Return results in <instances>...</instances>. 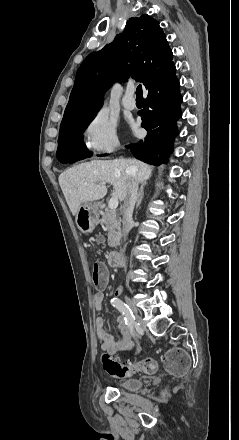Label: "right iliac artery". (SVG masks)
<instances>
[{"label":"right iliac artery","instance_id":"1","mask_svg":"<svg viewBox=\"0 0 239 440\" xmlns=\"http://www.w3.org/2000/svg\"><path fill=\"white\" fill-rule=\"evenodd\" d=\"M111 304L118 309L124 316L125 323L128 325L131 334L134 336V323H135V317L132 313V310L129 308L127 304H125L122 300L118 298H112Z\"/></svg>","mask_w":239,"mask_h":440}]
</instances>
